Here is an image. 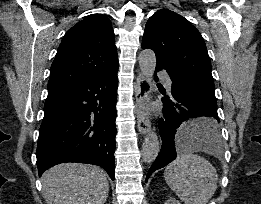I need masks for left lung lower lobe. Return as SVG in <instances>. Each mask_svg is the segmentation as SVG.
I'll use <instances>...</instances> for the list:
<instances>
[{
	"label": "left lung lower lobe",
	"mask_w": 261,
	"mask_h": 204,
	"mask_svg": "<svg viewBox=\"0 0 261 204\" xmlns=\"http://www.w3.org/2000/svg\"><path fill=\"white\" fill-rule=\"evenodd\" d=\"M162 69L156 66L155 71ZM155 80H158L157 76ZM162 102L164 119L159 122L162 148L149 169L146 180L154 171L176 158L180 142L190 145L196 140L216 141L219 139L217 101L215 94L211 91L190 81L172 82L171 94L165 95ZM197 117L209 118L201 121L194 128L192 135L181 132L180 125L184 121Z\"/></svg>",
	"instance_id": "0a47b994"
}]
</instances>
